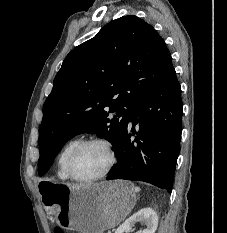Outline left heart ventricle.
I'll list each match as a JSON object with an SVG mask.
<instances>
[{"label":"left heart ventricle","mask_w":227,"mask_h":233,"mask_svg":"<svg viewBox=\"0 0 227 233\" xmlns=\"http://www.w3.org/2000/svg\"><path fill=\"white\" fill-rule=\"evenodd\" d=\"M108 164L106 150L96 144L81 148L72 160L73 173L82 178L92 177L101 173Z\"/></svg>","instance_id":"left-heart-ventricle-1"}]
</instances>
